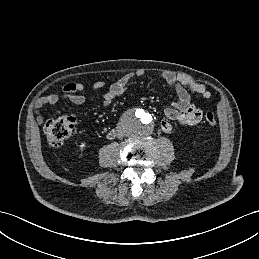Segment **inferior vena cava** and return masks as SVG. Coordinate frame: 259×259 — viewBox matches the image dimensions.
Returning <instances> with one entry per match:
<instances>
[{
  "label": "inferior vena cava",
  "instance_id": "obj_1",
  "mask_svg": "<svg viewBox=\"0 0 259 259\" xmlns=\"http://www.w3.org/2000/svg\"><path fill=\"white\" fill-rule=\"evenodd\" d=\"M117 135H118L119 137H123V133H122L121 131H118V132H117Z\"/></svg>",
  "mask_w": 259,
  "mask_h": 259
}]
</instances>
